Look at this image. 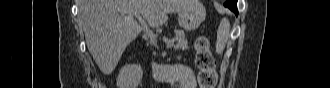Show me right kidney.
<instances>
[{
	"instance_id": "ca27d5eb",
	"label": "right kidney",
	"mask_w": 330,
	"mask_h": 88,
	"mask_svg": "<svg viewBox=\"0 0 330 88\" xmlns=\"http://www.w3.org/2000/svg\"><path fill=\"white\" fill-rule=\"evenodd\" d=\"M143 71L140 65L123 66L117 77L118 88H137L141 82Z\"/></svg>"
}]
</instances>
